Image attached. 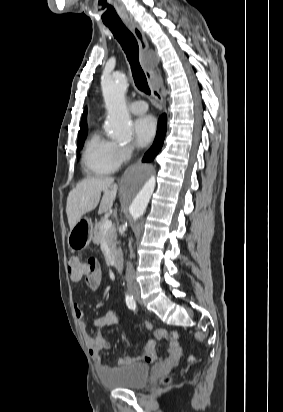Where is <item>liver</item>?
<instances>
[{
    "label": "liver",
    "mask_w": 283,
    "mask_h": 412,
    "mask_svg": "<svg viewBox=\"0 0 283 412\" xmlns=\"http://www.w3.org/2000/svg\"><path fill=\"white\" fill-rule=\"evenodd\" d=\"M104 193L100 202L101 193ZM117 194V185L111 177L87 178L70 191L67 197L66 213L70 230L82 216L94 210L99 202V214L111 209Z\"/></svg>",
    "instance_id": "6515ba94"
}]
</instances>
